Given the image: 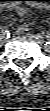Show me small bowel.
Instances as JSON below:
<instances>
[{"mask_svg": "<svg viewBox=\"0 0 50 111\" xmlns=\"http://www.w3.org/2000/svg\"><path fill=\"white\" fill-rule=\"evenodd\" d=\"M15 11H16L17 14H19V15H25V14L28 13V9H27L26 7H24V6H17V7L15 8ZM28 29H29V28H28V25H26V24L20 25V26L18 27V29H17V33H18V34L25 33V32L28 31Z\"/></svg>", "mask_w": 50, "mask_h": 111, "instance_id": "c3829d8e", "label": "small bowel"}]
</instances>
